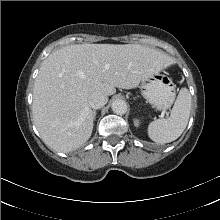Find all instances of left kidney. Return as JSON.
Masks as SVG:
<instances>
[{
  "label": "left kidney",
  "instance_id": "5707ae66",
  "mask_svg": "<svg viewBox=\"0 0 220 220\" xmlns=\"http://www.w3.org/2000/svg\"><path fill=\"white\" fill-rule=\"evenodd\" d=\"M134 125L136 126V127H138L139 125H140V122H139V120H134Z\"/></svg>",
  "mask_w": 220,
  "mask_h": 220
}]
</instances>
